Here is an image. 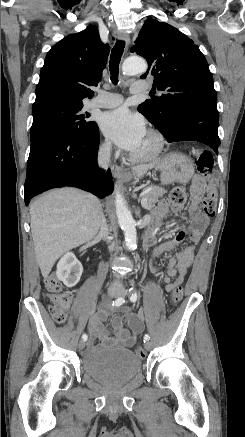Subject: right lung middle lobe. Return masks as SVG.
I'll return each mask as SVG.
<instances>
[{"mask_svg":"<svg viewBox=\"0 0 245 437\" xmlns=\"http://www.w3.org/2000/svg\"><path fill=\"white\" fill-rule=\"evenodd\" d=\"M82 107L83 104L67 102H51L32 107L31 140L50 129L69 136L90 132L97 124L88 120L89 115L81 112Z\"/></svg>","mask_w":245,"mask_h":437,"instance_id":"1","label":"right lung middle lobe"}]
</instances>
